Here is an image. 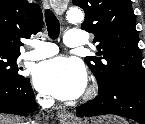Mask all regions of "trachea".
I'll return each instance as SVG.
<instances>
[{
    "label": "trachea",
    "mask_w": 145,
    "mask_h": 124,
    "mask_svg": "<svg viewBox=\"0 0 145 124\" xmlns=\"http://www.w3.org/2000/svg\"><path fill=\"white\" fill-rule=\"evenodd\" d=\"M45 22L47 25L48 35L51 39H57L60 34V23L52 11H45Z\"/></svg>",
    "instance_id": "1"
}]
</instances>
